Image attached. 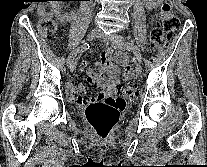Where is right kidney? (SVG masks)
<instances>
[{"label":"right kidney","instance_id":"obj_1","mask_svg":"<svg viewBox=\"0 0 207 167\" xmlns=\"http://www.w3.org/2000/svg\"><path fill=\"white\" fill-rule=\"evenodd\" d=\"M54 3V13L56 17L61 21V22H68L71 20L72 15L71 14H64L61 15V9L63 8V2L62 1H55Z\"/></svg>","mask_w":207,"mask_h":167}]
</instances>
